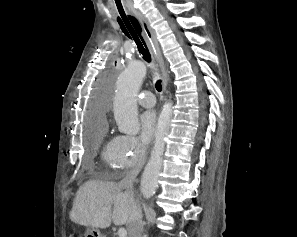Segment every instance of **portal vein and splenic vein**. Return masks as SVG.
I'll return each instance as SVG.
<instances>
[{
	"label": "portal vein and splenic vein",
	"instance_id": "1",
	"mask_svg": "<svg viewBox=\"0 0 297 237\" xmlns=\"http://www.w3.org/2000/svg\"><path fill=\"white\" fill-rule=\"evenodd\" d=\"M118 236L119 237H126L127 236V231L124 228H120L118 230Z\"/></svg>",
	"mask_w": 297,
	"mask_h": 237
}]
</instances>
